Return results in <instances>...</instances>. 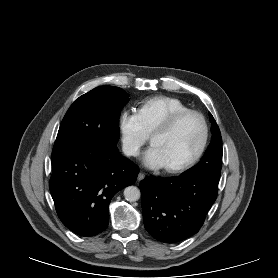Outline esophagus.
<instances>
[{
    "label": "esophagus",
    "instance_id": "34e87169",
    "mask_svg": "<svg viewBox=\"0 0 278 278\" xmlns=\"http://www.w3.org/2000/svg\"><path fill=\"white\" fill-rule=\"evenodd\" d=\"M144 178H145V174H144L143 172H139V173H138V176H137L138 181H141V180H143Z\"/></svg>",
    "mask_w": 278,
    "mask_h": 278
}]
</instances>
